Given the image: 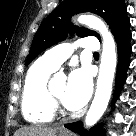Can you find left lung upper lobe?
<instances>
[{
	"instance_id": "5c2ea615",
	"label": "left lung upper lobe",
	"mask_w": 136,
	"mask_h": 136,
	"mask_svg": "<svg viewBox=\"0 0 136 136\" xmlns=\"http://www.w3.org/2000/svg\"><path fill=\"white\" fill-rule=\"evenodd\" d=\"M87 11L101 16L109 25L112 33L127 17L124 0H64L41 23L34 36L26 65L49 46L64 40L68 33L76 32L81 37L93 35L100 39L95 31L72 26L70 23L71 16Z\"/></svg>"
}]
</instances>
